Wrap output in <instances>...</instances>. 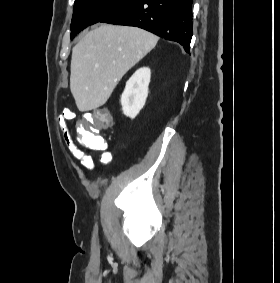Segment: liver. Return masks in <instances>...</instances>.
<instances>
[{
  "label": "liver",
  "instance_id": "obj_1",
  "mask_svg": "<svg viewBox=\"0 0 280 283\" xmlns=\"http://www.w3.org/2000/svg\"><path fill=\"white\" fill-rule=\"evenodd\" d=\"M137 27L101 24L72 49L70 90L81 112L104 105L125 73L157 44Z\"/></svg>",
  "mask_w": 280,
  "mask_h": 283
}]
</instances>
